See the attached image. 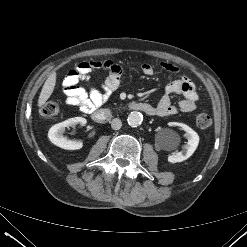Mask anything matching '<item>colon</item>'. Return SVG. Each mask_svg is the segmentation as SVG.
<instances>
[{"instance_id": "5ec220e1", "label": "colon", "mask_w": 247, "mask_h": 247, "mask_svg": "<svg viewBox=\"0 0 247 247\" xmlns=\"http://www.w3.org/2000/svg\"><path fill=\"white\" fill-rule=\"evenodd\" d=\"M59 112V106L57 103L53 101H49L45 103L42 108H41V114L45 117H53L57 115ZM212 124V119L211 117L205 113V112H200L196 116V126L200 130H207L210 128Z\"/></svg>"}]
</instances>
